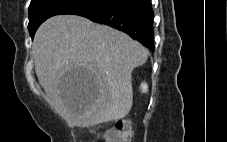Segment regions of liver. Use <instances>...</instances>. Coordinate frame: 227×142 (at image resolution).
I'll return each instance as SVG.
<instances>
[{"label": "liver", "instance_id": "obj_1", "mask_svg": "<svg viewBox=\"0 0 227 142\" xmlns=\"http://www.w3.org/2000/svg\"><path fill=\"white\" fill-rule=\"evenodd\" d=\"M39 83L54 108L77 126L89 127L127 116L133 103L131 74L148 50L127 34L78 15L46 20L33 41ZM85 65L88 88H67L65 68Z\"/></svg>", "mask_w": 227, "mask_h": 142}]
</instances>
